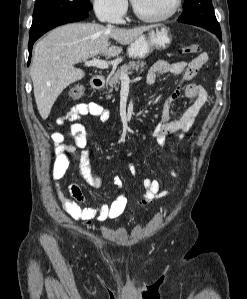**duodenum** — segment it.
Returning a JSON list of instances; mask_svg holds the SVG:
<instances>
[{"mask_svg":"<svg viewBox=\"0 0 247 299\" xmlns=\"http://www.w3.org/2000/svg\"><path fill=\"white\" fill-rule=\"evenodd\" d=\"M105 84V76L96 75L91 79V86L94 89H101Z\"/></svg>","mask_w":247,"mask_h":299,"instance_id":"obj_1","label":"duodenum"}]
</instances>
